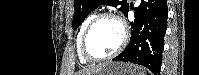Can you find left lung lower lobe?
<instances>
[{
	"label": "left lung lower lobe",
	"instance_id": "obj_1",
	"mask_svg": "<svg viewBox=\"0 0 199 75\" xmlns=\"http://www.w3.org/2000/svg\"><path fill=\"white\" fill-rule=\"evenodd\" d=\"M129 8L126 12L128 14ZM132 34L125 50L114 61L131 62L160 75L164 36L167 28L166 0H141L135 8Z\"/></svg>",
	"mask_w": 199,
	"mask_h": 75
}]
</instances>
